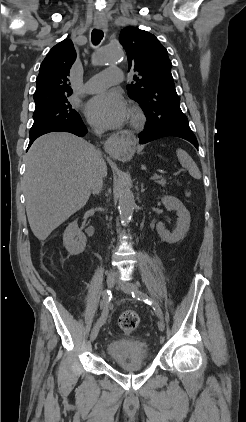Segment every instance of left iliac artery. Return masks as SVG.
Wrapping results in <instances>:
<instances>
[{
  "label": "left iliac artery",
  "instance_id": "left-iliac-artery-1",
  "mask_svg": "<svg viewBox=\"0 0 246 422\" xmlns=\"http://www.w3.org/2000/svg\"><path fill=\"white\" fill-rule=\"evenodd\" d=\"M132 297L144 301L145 303L149 304L152 306L154 312L156 313V315L160 318L163 319V313L162 310L160 308V306L158 305V303L154 300H152L150 297H148L147 294L142 293L138 290L132 291Z\"/></svg>",
  "mask_w": 246,
  "mask_h": 422
}]
</instances>
